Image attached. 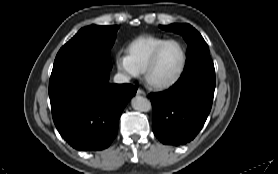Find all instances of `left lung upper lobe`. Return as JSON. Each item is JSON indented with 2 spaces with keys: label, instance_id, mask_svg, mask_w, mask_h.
I'll return each mask as SVG.
<instances>
[{
  "label": "left lung upper lobe",
  "instance_id": "1",
  "mask_svg": "<svg viewBox=\"0 0 278 174\" xmlns=\"http://www.w3.org/2000/svg\"><path fill=\"white\" fill-rule=\"evenodd\" d=\"M161 29L181 34L188 44L187 65L180 78L205 73L215 76L214 64L209 55V48L201 34L189 24H171L159 26Z\"/></svg>",
  "mask_w": 278,
  "mask_h": 174
}]
</instances>
